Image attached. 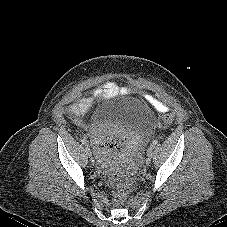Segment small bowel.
Returning <instances> with one entry per match:
<instances>
[{
    "label": "small bowel",
    "mask_w": 227,
    "mask_h": 227,
    "mask_svg": "<svg viewBox=\"0 0 227 227\" xmlns=\"http://www.w3.org/2000/svg\"><path fill=\"white\" fill-rule=\"evenodd\" d=\"M129 92L130 91L127 88L120 87L116 83L108 81L103 85L96 87L93 90L91 96L81 98L80 100L76 101L71 108L73 110L84 112L91 106L94 100L108 99L119 95H127ZM148 100L158 111L166 112L168 110L166 105L156 100L152 96H148ZM92 144L96 153L99 155L113 154L119 149L120 146L115 137H94L92 139Z\"/></svg>",
    "instance_id": "1"
}]
</instances>
